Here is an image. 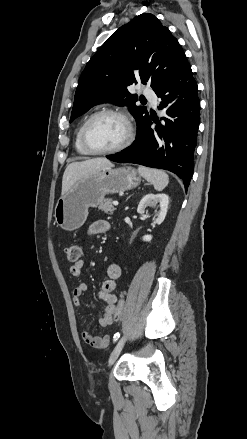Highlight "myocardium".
<instances>
[{"label": "myocardium", "instance_id": "obj_1", "mask_svg": "<svg viewBox=\"0 0 247 439\" xmlns=\"http://www.w3.org/2000/svg\"><path fill=\"white\" fill-rule=\"evenodd\" d=\"M104 115H112V116H116L121 118L127 128V135L125 140L118 146L111 148V149H107V150H97L94 149L88 141L87 138V132H88V128L91 125V123L97 119L100 116H104ZM135 138V129H134V125L132 123L131 118L129 117V115L119 109H103V110H99L95 113H93L83 124L82 128H81V133H80V140H81V144L83 146V148L92 155H110V154H114V153H118L124 149H126L127 147H129L132 142L134 141Z\"/></svg>", "mask_w": 247, "mask_h": 439}]
</instances>
